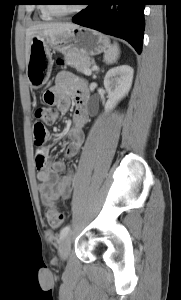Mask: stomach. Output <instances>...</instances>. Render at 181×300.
<instances>
[{
  "label": "stomach",
  "mask_w": 181,
  "mask_h": 300,
  "mask_svg": "<svg viewBox=\"0 0 181 300\" xmlns=\"http://www.w3.org/2000/svg\"><path fill=\"white\" fill-rule=\"evenodd\" d=\"M109 38L85 27L70 29L57 37H33L27 64V77L33 87L44 85L50 76L51 51L79 52L85 57L98 55L110 48Z\"/></svg>",
  "instance_id": "obj_1"
}]
</instances>
